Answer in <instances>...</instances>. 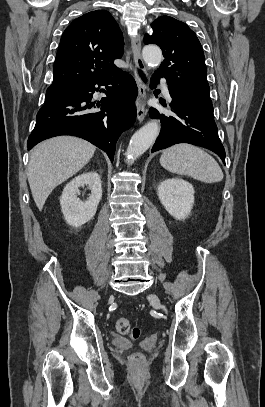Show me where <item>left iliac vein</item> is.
Segmentation results:
<instances>
[{"mask_svg":"<svg viewBox=\"0 0 265 407\" xmlns=\"http://www.w3.org/2000/svg\"><path fill=\"white\" fill-rule=\"evenodd\" d=\"M148 299L153 304L154 307H156V308L160 307V300L156 295L150 294L148 296Z\"/></svg>","mask_w":265,"mask_h":407,"instance_id":"4c4485c4","label":"left iliac vein"}]
</instances>
